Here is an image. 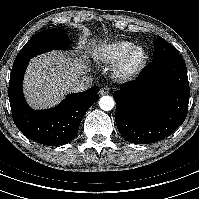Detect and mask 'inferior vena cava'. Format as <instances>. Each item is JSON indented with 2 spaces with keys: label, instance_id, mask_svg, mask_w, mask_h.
<instances>
[{
  "label": "inferior vena cava",
  "instance_id": "1",
  "mask_svg": "<svg viewBox=\"0 0 199 199\" xmlns=\"http://www.w3.org/2000/svg\"><path fill=\"white\" fill-rule=\"evenodd\" d=\"M93 78L91 76H80L73 83V90L76 92H81L89 88L92 84Z\"/></svg>",
  "mask_w": 199,
  "mask_h": 199
}]
</instances>
